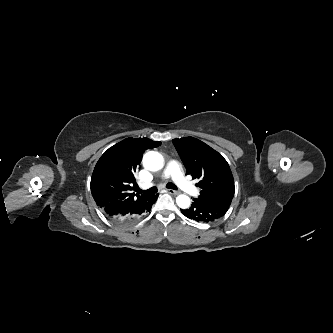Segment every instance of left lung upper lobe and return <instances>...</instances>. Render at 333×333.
<instances>
[{
    "label": "left lung upper lobe",
    "mask_w": 333,
    "mask_h": 333,
    "mask_svg": "<svg viewBox=\"0 0 333 333\" xmlns=\"http://www.w3.org/2000/svg\"><path fill=\"white\" fill-rule=\"evenodd\" d=\"M187 173L200 181V199L230 206L234 196V180L224 157L204 142L185 137L172 140Z\"/></svg>",
    "instance_id": "5c2ea615"
}]
</instances>
